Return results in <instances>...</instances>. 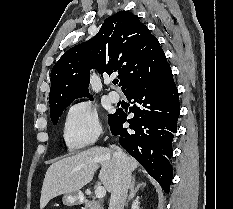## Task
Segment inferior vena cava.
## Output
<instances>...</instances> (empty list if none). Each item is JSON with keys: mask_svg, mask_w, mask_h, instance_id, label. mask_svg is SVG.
I'll use <instances>...</instances> for the list:
<instances>
[{"mask_svg": "<svg viewBox=\"0 0 233 209\" xmlns=\"http://www.w3.org/2000/svg\"><path fill=\"white\" fill-rule=\"evenodd\" d=\"M112 148L115 150L113 157L116 168L109 209H124L128 189L131 186V169L125 153L117 146L113 145Z\"/></svg>", "mask_w": 233, "mask_h": 209, "instance_id": "602c4592", "label": "inferior vena cava"}]
</instances>
